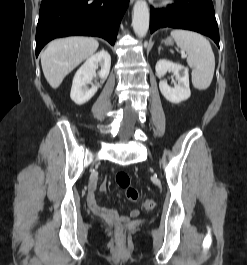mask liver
Segmentation results:
<instances>
[{"instance_id":"1","label":"liver","mask_w":247,"mask_h":265,"mask_svg":"<svg viewBox=\"0 0 247 265\" xmlns=\"http://www.w3.org/2000/svg\"><path fill=\"white\" fill-rule=\"evenodd\" d=\"M98 46V41L89 37H67L50 42L41 53L42 70L50 86L58 88L75 67L96 52Z\"/></svg>"}]
</instances>
